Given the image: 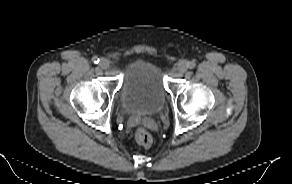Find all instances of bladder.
Masks as SVG:
<instances>
[{
	"mask_svg": "<svg viewBox=\"0 0 292 184\" xmlns=\"http://www.w3.org/2000/svg\"><path fill=\"white\" fill-rule=\"evenodd\" d=\"M167 97L160 68L148 60L132 63L123 75L119 101L128 114H155L162 109Z\"/></svg>",
	"mask_w": 292,
	"mask_h": 184,
	"instance_id": "obj_1",
	"label": "bladder"
}]
</instances>
